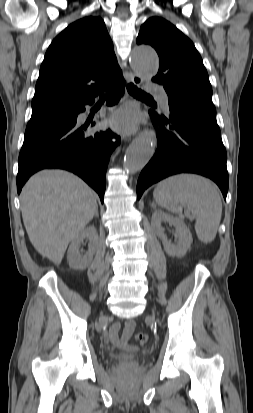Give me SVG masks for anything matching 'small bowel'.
Here are the masks:
<instances>
[{
	"label": "small bowel",
	"mask_w": 253,
	"mask_h": 413,
	"mask_svg": "<svg viewBox=\"0 0 253 413\" xmlns=\"http://www.w3.org/2000/svg\"><path fill=\"white\" fill-rule=\"evenodd\" d=\"M134 329L135 323L131 320L127 321L123 327L116 322L109 330V338L115 346L124 348L134 332Z\"/></svg>",
	"instance_id": "obj_1"
}]
</instances>
